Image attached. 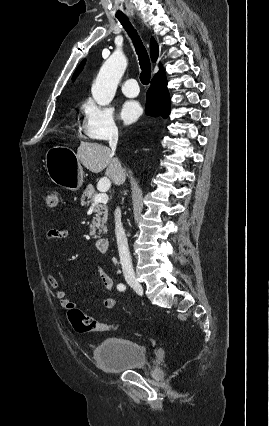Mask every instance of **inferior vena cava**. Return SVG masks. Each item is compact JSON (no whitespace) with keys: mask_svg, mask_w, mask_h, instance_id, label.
I'll list each match as a JSON object with an SVG mask.
<instances>
[{"mask_svg":"<svg viewBox=\"0 0 269 426\" xmlns=\"http://www.w3.org/2000/svg\"><path fill=\"white\" fill-rule=\"evenodd\" d=\"M118 142V132L113 131L109 138V145L112 152L116 150ZM115 234L117 238L118 251L120 256V262L122 265V270L124 275H134V270L132 266V260L128 248V242L125 234V230L121 223V211L119 208L115 211Z\"/></svg>","mask_w":269,"mask_h":426,"instance_id":"inferior-vena-cava-1","label":"inferior vena cava"}]
</instances>
